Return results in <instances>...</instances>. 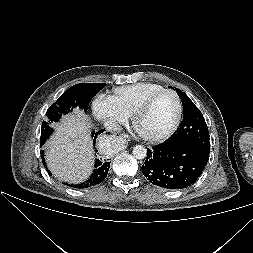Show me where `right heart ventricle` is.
<instances>
[{
    "instance_id": "obj_1",
    "label": "right heart ventricle",
    "mask_w": 253,
    "mask_h": 253,
    "mask_svg": "<svg viewBox=\"0 0 253 253\" xmlns=\"http://www.w3.org/2000/svg\"><path fill=\"white\" fill-rule=\"evenodd\" d=\"M164 89L155 83H137L114 89L110 96L116 107L127 118L132 117L139 105L150 95Z\"/></svg>"
}]
</instances>
